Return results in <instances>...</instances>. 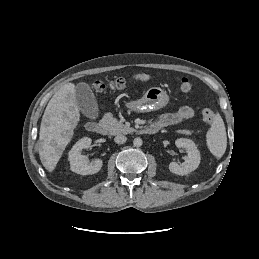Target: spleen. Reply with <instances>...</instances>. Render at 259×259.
Here are the masks:
<instances>
[{
	"mask_svg": "<svg viewBox=\"0 0 259 259\" xmlns=\"http://www.w3.org/2000/svg\"><path fill=\"white\" fill-rule=\"evenodd\" d=\"M206 141L210 152L216 158H221L226 150L227 136L224 121L219 113L215 115L212 121L206 135Z\"/></svg>",
	"mask_w": 259,
	"mask_h": 259,
	"instance_id": "3e777b00",
	"label": "spleen"
}]
</instances>
